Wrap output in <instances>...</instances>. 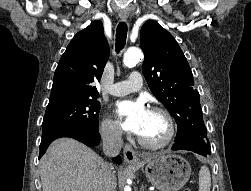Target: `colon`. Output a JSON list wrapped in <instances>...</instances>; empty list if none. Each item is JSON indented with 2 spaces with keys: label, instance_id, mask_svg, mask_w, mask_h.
<instances>
[{
  "label": "colon",
  "instance_id": "obj_1",
  "mask_svg": "<svg viewBox=\"0 0 251 191\" xmlns=\"http://www.w3.org/2000/svg\"><path fill=\"white\" fill-rule=\"evenodd\" d=\"M184 191H191V189L190 188H185Z\"/></svg>",
  "mask_w": 251,
  "mask_h": 191
}]
</instances>
